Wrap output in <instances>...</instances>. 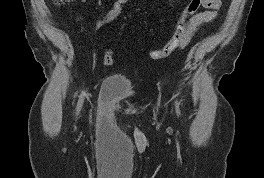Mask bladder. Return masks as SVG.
<instances>
[{
  "mask_svg": "<svg viewBox=\"0 0 264 178\" xmlns=\"http://www.w3.org/2000/svg\"><path fill=\"white\" fill-rule=\"evenodd\" d=\"M133 81L125 74L112 73L102 82L100 95L102 98L121 100L135 94Z\"/></svg>",
  "mask_w": 264,
  "mask_h": 178,
  "instance_id": "1",
  "label": "bladder"
}]
</instances>
